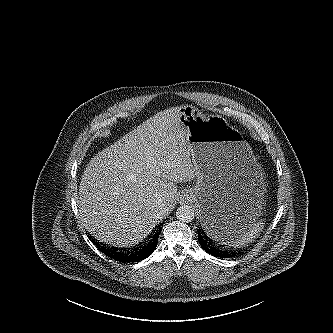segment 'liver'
I'll list each match as a JSON object with an SVG mask.
<instances>
[{"label":"liver","instance_id":"1","mask_svg":"<svg viewBox=\"0 0 333 333\" xmlns=\"http://www.w3.org/2000/svg\"><path fill=\"white\" fill-rule=\"evenodd\" d=\"M180 116L178 107L158 112L90 160L77 206L97 239L138 244L175 207L176 184L197 176ZM160 204L168 210L164 215Z\"/></svg>","mask_w":333,"mask_h":333}]
</instances>
